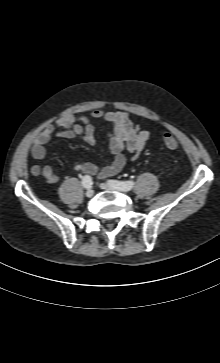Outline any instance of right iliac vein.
Instances as JSON below:
<instances>
[{
	"label": "right iliac vein",
	"mask_w": 220,
	"mask_h": 363,
	"mask_svg": "<svg viewBox=\"0 0 220 363\" xmlns=\"http://www.w3.org/2000/svg\"><path fill=\"white\" fill-rule=\"evenodd\" d=\"M93 194H94L93 189H88V190L86 191V196H87L88 198L92 197V196H93Z\"/></svg>",
	"instance_id": "1"
}]
</instances>
